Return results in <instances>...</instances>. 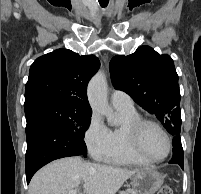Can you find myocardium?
Segmentation results:
<instances>
[{
	"label": "myocardium",
	"instance_id": "myocardium-1",
	"mask_svg": "<svg viewBox=\"0 0 201 194\" xmlns=\"http://www.w3.org/2000/svg\"><path fill=\"white\" fill-rule=\"evenodd\" d=\"M147 125H152L156 127L165 136L167 140L168 150L166 154L161 158H152L148 156L142 149L141 135H142V131L144 127ZM129 132H130L131 144L135 152L144 160L150 163H159L166 160L173 150V141L170 134L160 123H158L155 120L148 119V118H139L130 125Z\"/></svg>",
	"mask_w": 201,
	"mask_h": 194
}]
</instances>
